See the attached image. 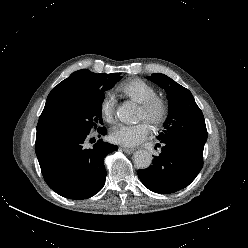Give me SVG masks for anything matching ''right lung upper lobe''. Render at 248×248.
I'll use <instances>...</instances> for the list:
<instances>
[{
	"label": "right lung upper lobe",
	"mask_w": 248,
	"mask_h": 248,
	"mask_svg": "<svg viewBox=\"0 0 248 248\" xmlns=\"http://www.w3.org/2000/svg\"><path fill=\"white\" fill-rule=\"evenodd\" d=\"M87 71H76L59 83L48 95L43 112L82 98L89 81Z\"/></svg>",
	"instance_id": "right-lung-upper-lobe-1"
}]
</instances>
